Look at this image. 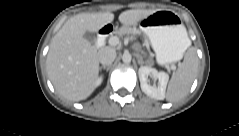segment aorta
<instances>
[{"label":"aorta","instance_id":"aorta-1","mask_svg":"<svg viewBox=\"0 0 239 136\" xmlns=\"http://www.w3.org/2000/svg\"><path fill=\"white\" fill-rule=\"evenodd\" d=\"M131 60H132L131 54L128 53V52H125V53L123 54V56H122V61H123L124 63H130Z\"/></svg>","mask_w":239,"mask_h":136}]
</instances>
